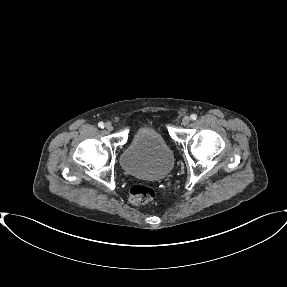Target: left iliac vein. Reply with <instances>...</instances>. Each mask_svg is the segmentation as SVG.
<instances>
[{"instance_id": "left-iliac-vein-1", "label": "left iliac vein", "mask_w": 287, "mask_h": 287, "mask_svg": "<svg viewBox=\"0 0 287 287\" xmlns=\"http://www.w3.org/2000/svg\"><path fill=\"white\" fill-rule=\"evenodd\" d=\"M189 122H190V117H189V116L183 117V119H182V124H183L184 126H187V125L189 124Z\"/></svg>"}]
</instances>
